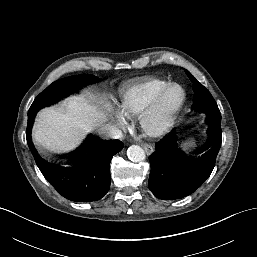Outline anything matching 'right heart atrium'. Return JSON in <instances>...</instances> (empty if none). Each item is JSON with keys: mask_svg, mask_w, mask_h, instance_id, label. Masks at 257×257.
<instances>
[{"mask_svg": "<svg viewBox=\"0 0 257 257\" xmlns=\"http://www.w3.org/2000/svg\"><path fill=\"white\" fill-rule=\"evenodd\" d=\"M118 122L120 125H124V120L121 117H118Z\"/></svg>", "mask_w": 257, "mask_h": 257, "instance_id": "obj_1", "label": "right heart atrium"}]
</instances>
